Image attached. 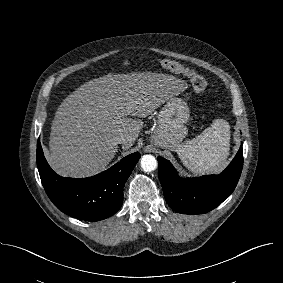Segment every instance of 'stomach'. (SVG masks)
<instances>
[{
    "mask_svg": "<svg viewBox=\"0 0 283 283\" xmlns=\"http://www.w3.org/2000/svg\"><path fill=\"white\" fill-rule=\"evenodd\" d=\"M189 116L190 110L184 100L178 97L170 98L158 114V126L150 138L151 144L175 151L188 134L185 124Z\"/></svg>",
    "mask_w": 283,
    "mask_h": 283,
    "instance_id": "stomach-1",
    "label": "stomach"
}]
</instances>
